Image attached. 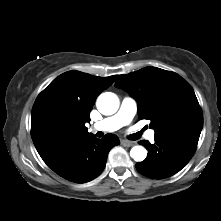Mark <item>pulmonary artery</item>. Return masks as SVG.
Masks as SVG:
<instances>
[{"label": "pulmonary artery", "instance_id": "e3ab8cb5", "mask_svg": "<svg viewBox=\"0 0 221 221\" xmlns=\"http://www.w3.org/2000/svg\"><path fill=\"white\" fill-rule=\"evenodd\" d=\"M137 111V103L131 97H124L121 106L116 114L102 121L96 122L93 129L97 131H116L123 126L128 125L134 118ZM155 132L149 130L146 132L145 137L148 140H153Z\"/></svg>", "mask_w": 221, "mask_h": 221}]
</instances>
